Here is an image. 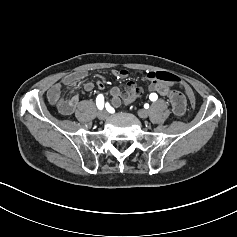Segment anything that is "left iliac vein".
I'll return each mask as SVG.
<instances>
[{"mask_svg":"<svg viewBox=\"0 0 237 237\" xmlns=\"http://www.w3.org/2000/svg\"><path fill=\"white\" fill-rule=\"evenodd\" d=\"M137 114H138V116H139L140 118H142V119L148 117V111L145 110V109L139 110V111L137 112Z\"/></svg>","mask_w":237,"mask_h":237,"instance_id":"1","label":"left iliac vein"}]
</instances>
